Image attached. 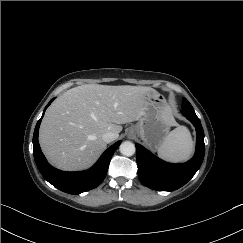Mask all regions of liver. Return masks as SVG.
<instances>
[{
  "instance_id": "liver-1",
  "label": "liver",
  "mask_w": 243,
  "mask_h": 243,
  "mask_svg": "<svg viewBox=\"0 0 243 243\" xmlns=\"http://www.w3.org/2000/svg\"><path fill=\"white\" fill-rule=\"evenodd\" d=\"M144 86L85 84L67 90L48 108L39 130L46 158L68 171L90 167L106 148L102 135L122 131L121 124L143 114Z\"/></svg>"
}]
</instances>
